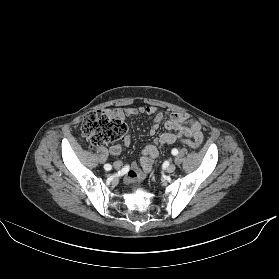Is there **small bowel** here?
<instances>
[{
  "label": "small bowel",
  "mask_w": 279,
  "mask_h": 279,
  "mask_svg": "<svg viewBox=\"0 0 279 279\" xmlns=\"http://www.w3.org/2000/svg\"><path fill=\"white\" fill-rule=\"evenodd\" d=\"M116 114L122 118H128L134 115H148L151 116L152 125L150 128V134L154 135L159 129L160 124L164 117H167V121L164 123L166 132H164L156 141L159 147H163L166 144H173L181 139H190L198 144L203 141V133L201 124L191 119L186 113L168 112L162 113L154 106L147 107H125L117 109ZM130 144L129 135H125L120 142L112 145L109 152L112 155H118L123 148ZM158 147L156 145H147L142 152V157L137 164H132L131 168L126 173L125 182L127 184L139 183L146 175L151 171L153 162L158 157Z\"/></svg>",
  "instance_id": "obj_1"
}]
</instances>
